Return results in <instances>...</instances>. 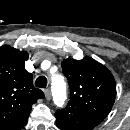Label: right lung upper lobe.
<instances>
[{
  "label": "right lung upper lobe",
  "mask_w": 130,
  "mask_h": 130,
  "mask_svg": "<svg viewBox=\"0 0 130 130\" xmlns=\"http://www.w3.org/2000/svg\"><path fill=\"white\" fill-rule=\"evenodd\" d=\"M28 53L9 45L0 47V130H19L28 121L31 106L44 98L25 70Z\"/></svg>",
  "instance_id": "obj_1"
}]
</instances>
